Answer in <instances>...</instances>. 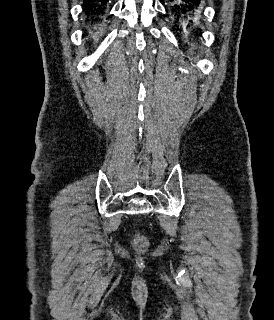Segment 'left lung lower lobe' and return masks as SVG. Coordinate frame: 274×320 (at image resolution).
Segmentation results:
<instances>
[{"mask_svg":"<svg viewBox=\"0 0 274 320\" xmlns=\"http://www.w3.org/2000/svg\"><path fill=\"white\" fill-rule=\"evenodd\" d=\"M200 4V0H170V10L177 19L192 22L200 13Z\"/></svg>","mask_w":274,"mask_h":320,"instance_id":"obj_1","label":"left lung lower lobe"}]
</instances>
